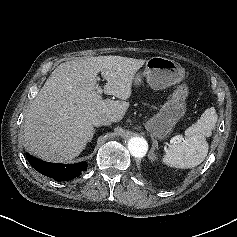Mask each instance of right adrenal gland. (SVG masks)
Returning <instances> with one entry per match:
<instances>
[{
	"label": "right adrenal gland",
	"mask_w": 237,
	"mask_h": 237,
	"mask_svg": "<svg viewBox=\"0 0 237 237\" xmlns=\"http://www.w3.org/2000/svg\"><path fill=\"white\" fill-rule=\"evenodd\" d=\"M94 133H95V129L93 130V132H92V134H91V137H90V139H89V142L92 140Z\"/></svg>",
	"instance_id": "obj_1"
}]
</instances>
